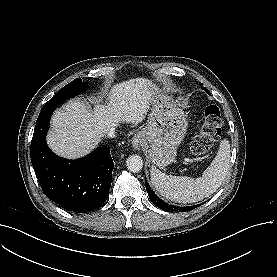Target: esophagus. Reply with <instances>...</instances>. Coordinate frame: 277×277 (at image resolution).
Wrapping results in <instances>:
<instances>
[{"mask_svg":"<svg viewBox=\"0 0 277 277\" xmlns=\"http://www.w3.org/2000/svg\"><path fill=\"white\" fill-rule=\"evenodd\" d=\"M144 144V138L142 137L141 134H135L134 137L132 138V146L135 149H140Z\"/></svg>","mask_w":277,"mask_h":277,"instance_id":"obj_1","label":"esophagus"}]
</instances>
